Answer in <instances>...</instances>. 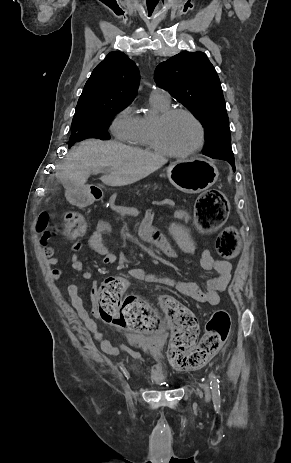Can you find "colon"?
I'll list each match as a JSON object with an SVG mask.
<instances>
[{
	"mask_svg": "<svg viewBox=\"0 0 291 463\" xmlns=\"http://www.w3.org/2000/svg\"><path fill=\"white\" fill-rule=\"evenodd\" d=\"M200 230L211 231L221 226L229 213V202L219 189L202 193L194 207ZM174 223L191 224L189 211L180 205L173 207ZM49 214L42 212L37 221V231L45 237L62 230L68 237L76 238L86 229L83 217L77 212L68 213L60 226L49 223ZM217 252L224 259H233L238 251V239L233 227L221 231L216 242ZM129 283L122 276L107 278L97 290L100 317L111 324L127 327L137 333H152L159 329L160 319L155 310L142 298L125 296ZM160 305L169 318L173 335L167 351L171 366L177 370H192L203 366L227 340L231 319L226 311L218 310L209 319L204 334L198 342L199 325L192 311L173 300L162 296Z\"/></svg>",
	"mask_w": 291,
	"mask_h": 463,
	"instance_id": "colon-1",
	"label": "colon"
}]
</instances>
